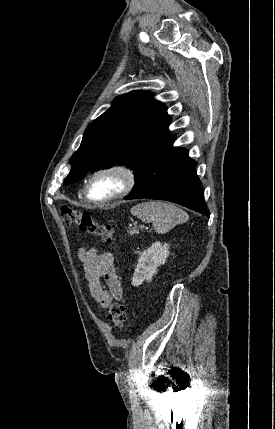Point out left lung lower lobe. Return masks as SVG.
Returning <instances> with one entry per match:
<instances>
[{
    "label": "left lung lower lobe",
    "mask_w": 275,
    "mask_h": 429,
    "mask_svg": "<svg viewBox=\"0 0 275 429\" xmlns=\"http://www.w3.org/2000/svg\"><path fill=\"white\" fill-rule=\"evenodd\" d=\"M174 140L175 137L150 161L125 199L167 200L209 218L195 170L197 162L189 158L185 148H173Z\"/></svg>",
    "instance_id": "obj_1"
}]
</instances>
